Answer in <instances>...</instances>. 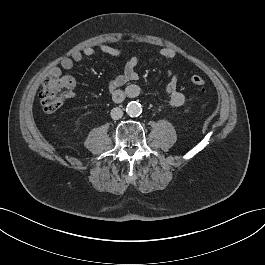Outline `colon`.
<instances>
[{
  "instance_id": "5ec220e1",
  "label": "colon",
  "mask_w": 265,
  "mask_h": 265,
  "mask_svg": "<svg viewBox=\"0 0 265 265\" xmlns=\"http://www.w3.org/2000/svg\"><path fill=\"white\" fill-rule=\"evenodd\" d=\"M193 85L203 89L205 80L199 75H193L190 78ZM75 81L71 76L50 75L43 83L39 95L42 109L46 113L57 112L68 99L74 90Z\"/></svg>"
}]
</instances>
